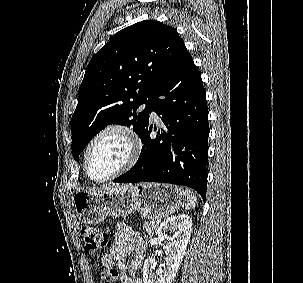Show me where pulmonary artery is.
<instances>
[{"mask_svg":"<svg viewBox=\"0 0 303 283\" xmlns=\"http://www.w3.org/2000/svg\"><path fill=\"white\" fill-rule=\"evenodd\" d=\"M145 105H143L142 107H144ZM151 117L153 118V119H156L157 118V115H156V113L153 111L152 113H151Z\"/></svg>","mask_w":303,"mask_h":283,"instance_id":"1","label":"pulmonary artery"}]
</instances>
